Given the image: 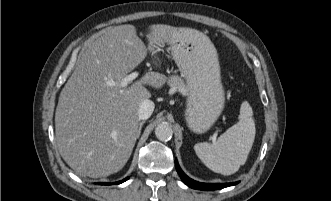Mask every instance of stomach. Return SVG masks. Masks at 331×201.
<instances>
[{
    "label": "stomach",
    "mask_w": 331,
    "mask_h": 201,
    "mask_svg": "<svg viewBox=\"0 0 331 201\" xmlns=\"http://www.w3.org/2000/svg\"><path fill=\"white\" fill-rule=\"evenodd\" d=\"M170 50L187 84V125L195 133H205L216 122L225 103L216 48L202 32L180 28Z\"/></svg>",
    "instance_id": "obj_1"
}]
</instances>
